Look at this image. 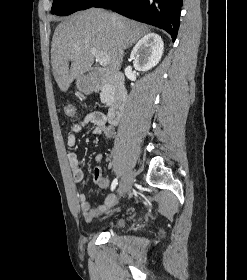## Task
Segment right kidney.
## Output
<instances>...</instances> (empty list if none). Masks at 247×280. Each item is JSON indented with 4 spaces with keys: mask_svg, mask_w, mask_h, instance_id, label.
<instances>
[{
    "mask_svg": "<svg viewBox=\"0 0 247 280\" xmlns=\"http://www.w3.org/2000/svg\"><path fill=\"white\" fill-rule=\"evenodd\" d=\"M164 43L156 33H149L138 41L131 52L136 70L147 71L156 66L163 55Z\"/></svg>",
    "mask_w": 247,
    "mask_h": 280,
    "instance_id": "1",
    "label": "right kidney"
}]
</instances>
